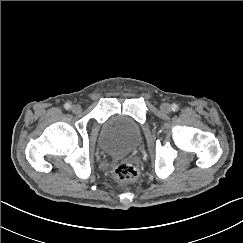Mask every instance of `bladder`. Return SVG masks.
<instances>
[{
  "label": "bladder",
  "instance_id": "obj_1",
  "mask_svg": "<svg viewBox=\"0 0 243 243\" xmlns=\"http://www.w3.org/2000/svg\"><path fill=\"white\" fill-rule=\"evenodd\" d=\"M142 142L140 125L132 118L115 114L102 125L98 147L107 155L123 157L135 150Z\"/></svg>",
  "mask_w": 243,
  "mask_h": 243
}]
</instances>
